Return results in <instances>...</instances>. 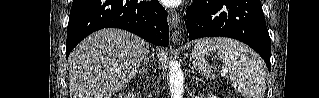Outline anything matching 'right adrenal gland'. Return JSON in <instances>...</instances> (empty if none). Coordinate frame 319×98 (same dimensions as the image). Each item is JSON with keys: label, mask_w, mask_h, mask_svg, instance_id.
Wrapping results in <instances>:
<instances>
[{"label": "right adrenal gland", "mask_w": 319, "mask_h": 98, "mask_svg": "<svg viewBox=\"0 0 319 98\" xmlns=\"http://www.w3.org/2000/svg\"><path fill=\"white\" fill-rule=\"evenodd\" d=\"M148 63H149V57H148V54H146L144 57V66L140 69V71H144L145 68L149 69Z\"/></svg>", "instance_id": "2a0ac1e0"}]
</instances>
